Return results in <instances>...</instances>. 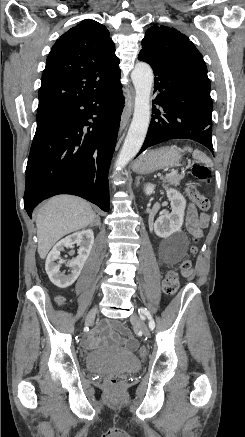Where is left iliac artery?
<instances>
[{"mask_svg": "<svg viewBox=\"0 0 245 437\" xmlns=\"http://www.w3.org/2000/svg\"><path fill=\"white\" fill-rule=\"evenodd\" d=\"M138 311H139L140 314H143V315L148 317V319H149V328L151 330H153L155 328V322H154L150 312L146 308H140Z\"/></svg>", "mask_w": 245, "mask_h": 437, "instance_id": "1", "label": "left iliac artery"}]
</instances>
